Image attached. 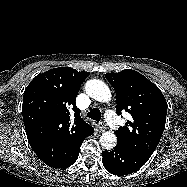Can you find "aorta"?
<instances>
[{"label":"aorta","mask_w":187,"mask_h":187,"mask_svg":"<svg viewBox=\"0 0 187 187\" xmlns=\"http://www.w3.org/2000/svg\"><path fill=\"white\" fill-rule=\"evenodd\" d=\"M86 93L99 102H108L111 99V92L108 86L98 79L87 81L85 85ZM117 142L116 135L111 131L104 132L100 137V144L104 149H112Z\"/></svg>","instance_id":"obj_1"}]
</instances>
